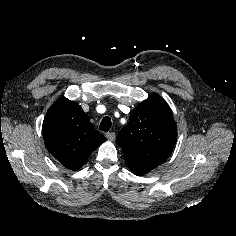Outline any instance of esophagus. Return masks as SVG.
I'll return each mask as SVG.
<instances>
[{
	"label": "esophagus",
	"instance_id": "1",
	"mask_svg": "<svg viewBox=\"0 0 236 236\" xmlns=\"http://www.w3.org/2000/svg\"><path fill=\"white\" fill-rule=\"evenodd\" d=\"M115 133L114 132H108L106 133V138L109 140V141H114L115 140Z\"/></svg>",
	"mask_w": 236,
	"mask_h": 236
}]
</instances>
